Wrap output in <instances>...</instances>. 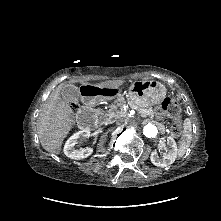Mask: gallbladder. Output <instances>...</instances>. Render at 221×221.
Here are the masks:
<instances>
[{"label":"gallbladder","mask_w":221,"mask_h":221,"mask_svg":"<svg viewBox=\"0 0 221 221\" xmlns=\"http://www.w3.org/2000/svg\"><path fill=\"white\" fill-rule=\"evenodd\" d=\"M61 96L62 99L67 103L69 102L76 103L80 99V92L76 86L66 85L63 87L61 91Z\"/></svg>","instance_id":"obj_1"}]
</instances>
